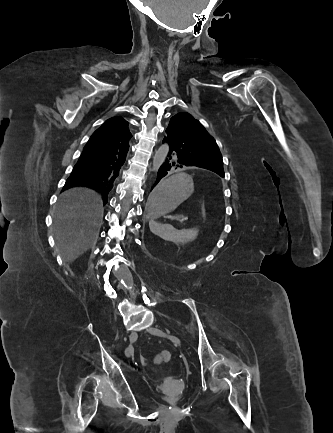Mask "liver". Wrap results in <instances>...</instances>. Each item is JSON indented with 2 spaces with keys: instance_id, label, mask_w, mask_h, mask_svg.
Instances as JSON below:
<instances>
[{
  "instance_id": "liver-1",
  "label": "liver",
  "mask_w": 333,
  "mask_h": 433,
  "mask_svg": "<svg viewBox=\"0 0 333 433\" xmlns=\"http://www.w3.org/2000/svg\"><path fill=\"white\" fill-rule=\"evenodd\" d=\"M103 211L102 197L92 189L76 187L61 194L53 230L64 261L73 262L95 245Z\"/></svg>"
}]
</instances>
